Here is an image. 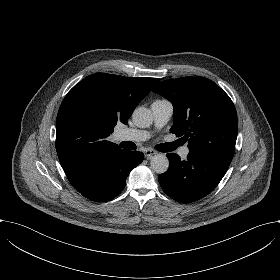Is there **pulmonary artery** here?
<instances>
[{"label": "pulmonary artery", "mask_w": 280, "mask_h": 280, "mask_svg": "<svg viewBox=\"0 0 280 280\" xmlns=\"http://www.w3.org/2000/svg\"><path fill=\"white\" fill-rule=\"evenodd\" d=\"M174 111L173 104L166 99H158L151 104V112L155 126L160 129L164 127L172 117ZM150 137V133L139 129H125L120 132V139L133 142H142ZM187 144L182 146L178 154L181 158H186L189 154Z\"/></svg>", "instance_id": "e3ab8cb5"}]
</instances>
